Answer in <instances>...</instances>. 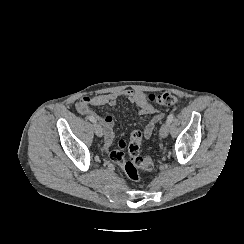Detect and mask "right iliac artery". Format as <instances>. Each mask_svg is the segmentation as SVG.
I'll use <instances>...</instances> for the list:
<instances>
[{
    "mask_svg": "<svg viewBox=\"0 0 244 244\" xmlns=\"http://www.w3.org/2000/svg\"><path fill=\"white\" fill-rule=\"evenodd\" d=\"M88 119L93 122V123H96V119L93 117V116H88Z\"/></svg>",
    "mask_w": 244,
    "mask_h": 244,
    "instance_id": "right-iliac-artery-1",
    "label": "right iliac artery"
}]
</instances>
